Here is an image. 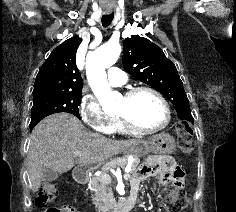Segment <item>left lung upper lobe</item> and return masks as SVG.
Here are the masks:
<instances>
[{
  "instance_id": "5c2ea615",
  "label": "left lung upper lobe",
  "mask_w": 236,
  "mask_h": 212,
  "mask_svg": "<svg viewBox=\"0 0 236 212\" xmlns=\"http://www.w3.org/2000/svg\"><path fill=\"white\" fill-rule=\"evenodd\" d=\"M123 66L137 80L150 85L174 105L178 115L191 112L183 83L173 62L156 44L133 35L123 42Z\"/></svg>"
}]
</instances>
